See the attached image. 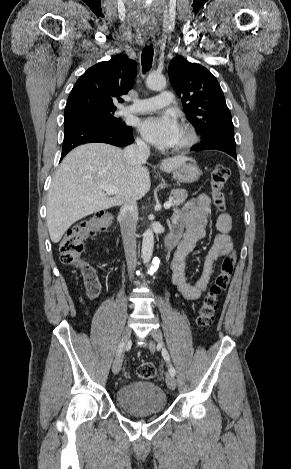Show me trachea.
Here are the masks:
<instances>
[{"label": "trachea", "instance_id": "obj_1", "mask_svg": "<svg viewBox=\"0 0 291 469\" xmlns=\"http://www.w3.org/2000/svg\"><path fill=\"white\" fill-rule=\"evenodd\" d=\"M153 46L152 44L146 45L142 51L141 62H142V71L146 73L152 66L153 61Z\"/></svg>", "mask_w": 291, "mask_h": 469}]
</instances>
